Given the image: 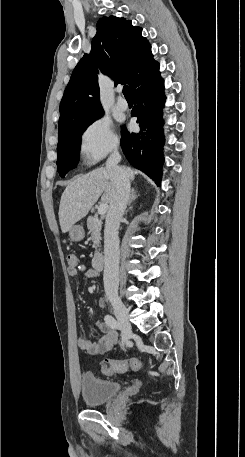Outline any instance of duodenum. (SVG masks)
Returning <instances> with one entry per match:
<instances>
[{
    "mask_svg": "<svg viewBox=\"0 0 245 457\" xmlns=\"http://www.w3.org/2000/svg\"><path fill=\"white\" fill-rule=\"evenodd\" d=\"M93 267L96 270H101L104 267L105 264V256L103 253H97L94 258H93Z\"/></svg>",
    "mask_w": 245,
    "mask_h": 457,
    "instance_id": "duodenum-1",
    "label": "duodenum"
}]
</instances>
